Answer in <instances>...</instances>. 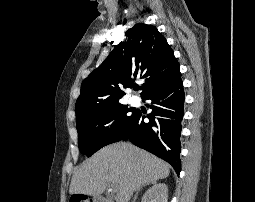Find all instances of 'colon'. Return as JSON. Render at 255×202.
<instances>
[{
	"label": "colon",
	"mask_w": 255,
	"mask_h": 202,
	"mask_svg": "<svg viewBox=\"0 0 255 202\" xmlns=\"http://www.w3.org/2000/svg\"><path fill=\"white\" fill-rule=\"evenodd\" d=\"M71 202H85V200L82 198H79V199H74Z\"/></svg>",
	"instance_id": "colon-1"
}]
</instances>
